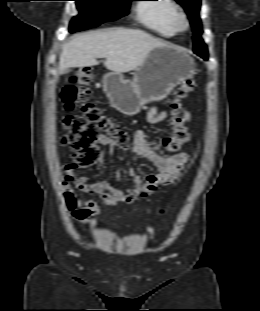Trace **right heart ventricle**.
I'll return each mask as SVG.
<instances>
[{"mask_svg":"<svg viewBox=\"0 0 260 311\" xmlns=\"http://www.w3.org/2000/svg\"><path fill=\"white\" fill-rule=\"evenodd\" d=\"M155 3L138 4L136 14L138 21L146 28L163 37H172L176 30L173 19L178 7L173 0H145Z\"/></svg>","mask_w":260,"mask_h":311,"instance_id":"1","label":"right heart ventricle"}]
</instances>
